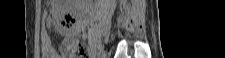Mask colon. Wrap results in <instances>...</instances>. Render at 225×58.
Instances as JSON below:
<instances>
[{
	"instance_id": "1",
	"label": "colon",
	"mask_w": 225,
	"mask_h": 58,
	"mask_svg": "<svg viewBox=\"0 0 225 58\" xmlns=\"http://www.w3.org/2000/svg\"><path fill=\"white\" fill-rule=\"evenodd\" d=\"M84 55H85L84 49L82 45L78 43H76L73 46H70L65 51V57H69V58H83Z\"/></svg>"
}]
</instances>
